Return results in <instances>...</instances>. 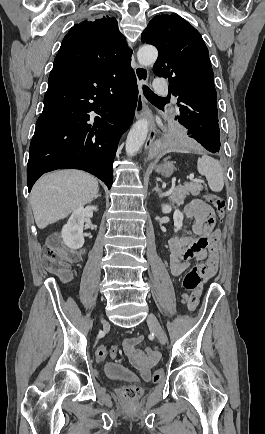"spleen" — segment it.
Returning a JSON list of instances; mask_svg holds the SVG:
<instances>
[{"label":"spleen","mask_w":265,"mask_h":434,"mask_svg":"<svg viewBox=\"0 0 265 434\" xmlns=\"http://www.w3.org/2000/svg\"><path fill=\"white\" fill-rule=\"evenodd\" d=\"M165 160H169V158H165ZM197 170L201 176H205L212 192H221V190H223V170L217 160L204 154L202 158H198Z\"/></svg>","instance_id":"3e777b00"}]
</instances>
